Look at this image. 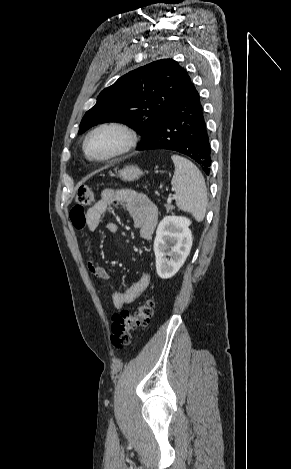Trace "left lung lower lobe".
Instances as JSON below:
<instances>
[{
  "instance_id": "obj_1",
  "label": "left lung lower lobe",
  "mask_w": 291,
  "mask_h": 469,
  "mask_svg": "<svg viewBox=\"0 0 291 469\" xmlns=\"http://www.w3.org/2000/svg\"><path fill=\"white\" fill-rule=\"evenodd\" d=\"M168 149L195 160L208 175L211 148L199 94L190 82L151 135L136 150Z\"/></svg>"
}]
</instances>
